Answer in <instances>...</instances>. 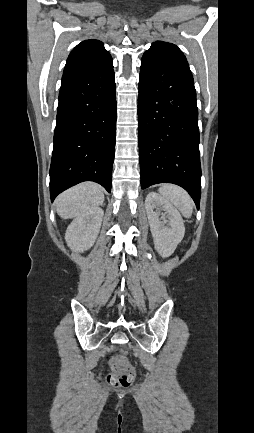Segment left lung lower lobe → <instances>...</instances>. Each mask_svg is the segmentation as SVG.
<instances>
[{
	"instance_id": "0a47b994",
	"label": "left lung lower lobe",
	"mask_w": 254,
	"mask_h": 433,
	"mask_svg": "<svg viewBox=\"0 0 254 433\" xmlns=\"http://www.w3.org/2000/svg\"><path fill=\"white\" fill-rule=\"evenodd\" d=\"M138 144L141 187L173 183L199 209L201 165L196 91L185 68L143 56L139 78Z\"/></svg>"
}]
</instances>
